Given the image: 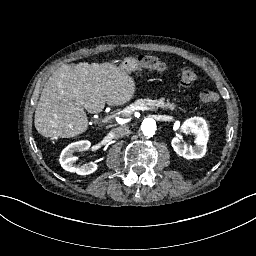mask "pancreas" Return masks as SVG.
I'll use <instances>...</instances> for the list:
<instances>
[{"instance_id":"pancreas-1","label":"pancreas","mask_w":256,"mask_h":256,"mask_svg":"<svg viewBox=\"0 0 256 256\" xmlns=\"http://www.w3.org/2000/svg\"><path fill=\"white\" fill-rule=\"evenodd\" d=\"M147 105L154 106L156 108H160L162 110H175L177 107V104L175 103H170L168 100L167 102H164L163 100H151V101H146Z\"/></svg>"}]
</instances>
